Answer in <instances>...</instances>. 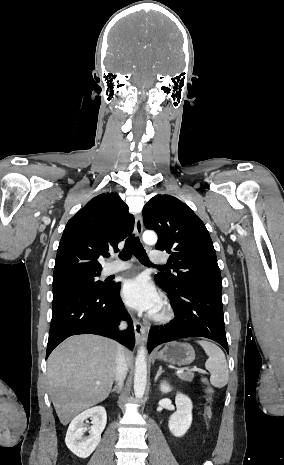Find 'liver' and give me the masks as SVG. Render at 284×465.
Here are the masks:
<instances>
[{
    "label": "liver",
    "instance_id": "6515ba94",
    "mask_svg": "<svg viewBox=\"0 0 284 465\" xmlns=\"http://www.w3.org/2000/svg\"><path fill=\"white\" fill-rule=\"evenodd\" d=\"M118 345L111 339L80 335L61 343L48 359L49 393L62 425L107 399L116 375ZM126 361L132 353L125 349Z\"/></svg>",
    "mask_w": 284,
    "mask_h": 465
}]
</instances>
